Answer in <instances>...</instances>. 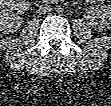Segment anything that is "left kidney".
<instances>
[{"label": "left kidney", "mask_w": 111, "mask_h": 106, "mask_svg": "<svg viewBox=\"0 0 111 106\" xmlns=\"http://www.w3.org/2000/svg\"><path fill=\"white\" fill-rule=\"evenodd\" d=\"M93 25L100 30L111 28V7L100 5L90 10Z\"/></svg>", "instance_id": "obj_1"}]
</instances>
